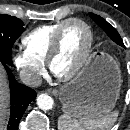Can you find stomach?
Masks as SVG:
<instances>
[{"label": "stomach", "mask_w": 130, "mask_h": 130, "mask_svg": "<svg viewBox=\"0 0 130 130\" xmlns=\"http://www.w3.org/2000/svg\"><path fill=\"white\" fill-rule=\"evenodd\" d=\"M121 71L109 55L94 53L81 71L59 92L63 112L77 119H98L115 107L121 88Z\"/></svg>", "instance_id": "obj_1"}]
</instances>
